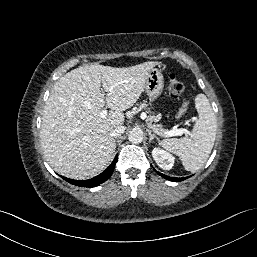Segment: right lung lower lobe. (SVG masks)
Masks as SVG:
<instances>
[{
	"label": "right lung lower lobe",
	"instance_id": "obj_1",
	"mask_svg": "<svg viewBox=\"0 0 257 257\" xmlns=\"http://www.w3.org/2000/svg\"><path fill=\"white\" fill-rule=\"evenodd\" d=\"M118 155H116L115 159L113 160V162L111 163V165L105 170L103 171L101 174H99L98 176L88 179V180H74V179H69L66 177H62L64 180H66L67 182H69L70 184L76 185V186H81V187H94V186H98L99 184L105 182L106 180H108L110 178V176L112 175L114 168H115V164L117 162V158Z\"/></svg>",
	"mask_w": 257,
	"mask_h": 257
}]
</instances>
